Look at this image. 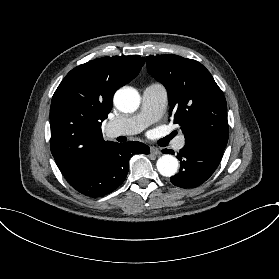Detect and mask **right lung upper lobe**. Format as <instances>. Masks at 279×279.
I'll return each instance as SVG.
<instances>
[{
    "label": "right lung upper lobe",
    "instance_id": "right-lung-upper-lobe-1",
    "mask_svg": "<svg viewBox=\"0 0 279 279\" xmlns=\"http://www.w3.org/2000/svg\"><path fill=\"white\" fill-rule=\"evenodd\" d=\"M145 63L138 55L98 58L72 69L56 89L50 108L51 152L65 179L89 170L111 143L101 123L115 91L134 79Z\"/></svg>",
    "mask_w": 279,
    "mask_h": 279
}]
</instances>
